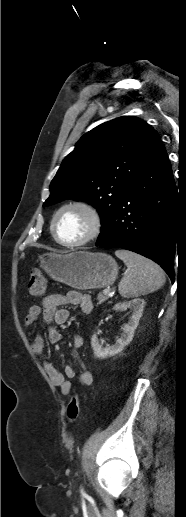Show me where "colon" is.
<instances>
[{
  "instance_id": "1",
  "label": "colon",
  "mask_w": 186,
  "mask_h": 517,
  "mask_svg": "<svg viewBox=\"0 0 186 517\" xmlns=\"http://www.w3.org/2000/svg\"><path fill=\"white\" fill-rule=\"evenodd\" d=\"M46 288V279L39 269L32 270L28 282L29 293L34 297L43 295ZM80 412V397L78 394H73L67 407V417L69 421H75Z\"/></svg>"
}]
</instances>
